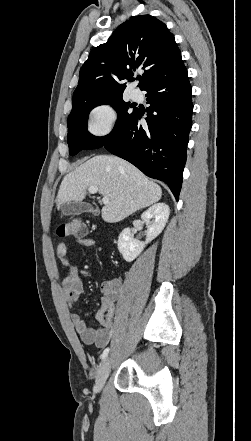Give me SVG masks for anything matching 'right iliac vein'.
Masks as SVG:
<instances>
[{
	"label": "right iliac vein",
	"instance_id": "right-iliac-vein-1",
	"mask_svg": "<svg viewBox=\"0 0 251 441\" xmlns=\"http://www.w3.org/2000/svg\"><path fill=\"white\" fill-rule=\"evenodd\" d=\"M111 365H112V360L110 357H107L98 371V375L94 387L96 392H100L102 390L105 381L110 373Z\"/></svg>",
	"mask_w": 251,
	"mask_h": 441
}]
</instances>
